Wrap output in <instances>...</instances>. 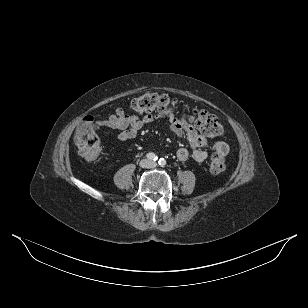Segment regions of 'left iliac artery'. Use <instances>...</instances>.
Listing matches in <instances>:
<instances>
[{"label": "left iliac artery", "mask_w": 308, "mask_h": 308, "mask_svg": "<svg viewBox=\"0 0 308 308\" xmlns=\"http://www.w3.org/2000/svg\"><path fill=\"white\" fill-rule=\"evenodd\" d=\"M158 163H159L160 166L163 167V166L166 165V160L164 158H160Z\"/></svg>", "instance_id": "44dca946"}]
</instances>
